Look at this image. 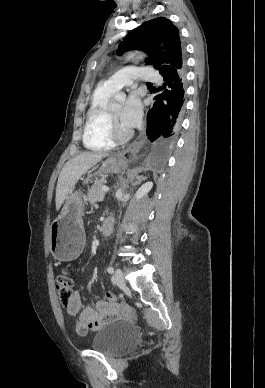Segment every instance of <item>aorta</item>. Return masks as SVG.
Returning <instances> with one entry per match:
<instances>
[{
  "mask_svg": "<svg viewBox=\"0 0 265 388\" xmlns=\"http://www.w3.org/2000/svg\"><path fill=\"white\" fill-rule=\"evenodd\" d=\"M136 57L139 58V59H141V58H143L144 56H143L141 53H136ZM114 99H115V101H117V102H122V101L125 100V94H123V93H118V94H116V95L114 96Z\"/></svg>",
  "mask_w": 265,
  "mask_h": 388,
  "instance_id": "aorta-1",
  "label": "aorta"
}]
</instances>
